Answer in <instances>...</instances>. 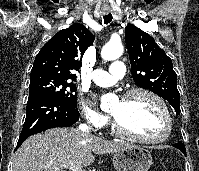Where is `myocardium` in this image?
Instances as JSON below:
<instances>
[{"instance_id":"1","label":"myocardium","mask_w":199,"mask_h":171,"mask_svg":"<svg viewBox=\"0 0 199 171\" xmlns=\"http://www.w3.org/2000/svg\"><path fill=\"white\" fill-rule=\"evenodd\" d=\"M137 94H144V95L149 96L160 107V109L162 110V113L165 117V122H166V129H165L164 134L158 138H150V137H145V136L135 134V133L127 130L120 123V121L115 116L112 115L113 128H114L115 132L124 138L131 139V140L141 142V143L159 144V143H163V142L167 141L170 138L172 131H173V120H172V116H171V113H170V110H169L167 104L158 94H156L152 90L144 88V87H136V88L127 90L126 92H124L122 94L121 100H126L134 95H137Z\"/></svg>"}]
</instances>
